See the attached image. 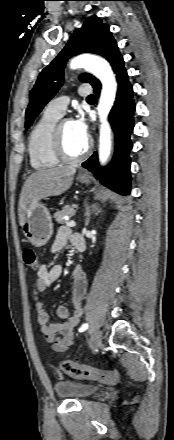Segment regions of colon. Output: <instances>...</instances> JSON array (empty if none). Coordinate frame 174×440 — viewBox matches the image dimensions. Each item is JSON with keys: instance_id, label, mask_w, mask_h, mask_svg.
<instances>
[{"instance_id": "5ec220e1", "label": "colon", "mask_w": 174, "mask_h": 440, "mask_svg": "<svg viewBox=\"0 0 174 440\" xmlns=\"http://www.w3.org/2000/svg\"><path fill=\"white\" fill-rule=\"evenodd\" d=\"M23 259L26 266L32 271L38 272L40 266L36 253L31 248H26L23 251ZM60 369L71 376L77 378L93 379L102 383L115 384L118 381V375L113 371H103L88 367L85 365H79L70 360H64L60 364Z\"/></svg>"}]
</instances>
